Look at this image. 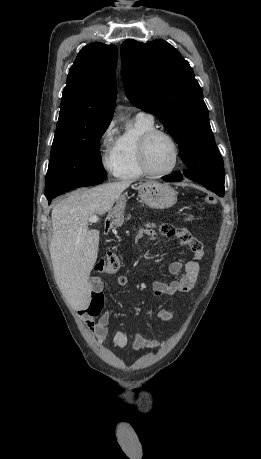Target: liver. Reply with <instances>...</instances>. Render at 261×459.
<instances>
[{
  "mask_svg": "<svg viewBox=\"0 0 261 459\" xmlns=\"http://www.w3.org/2000/svg\"><path fill=\"white\" fill-rule=\"evenodd\" d=\"M129 181L76 190L52 210L50 255L61 292L74 310L88 307L92 286L90 273L99 249V232L89 230V218L111 210Z\"/></svg>",
  "mask_w": 261,
  "mask_h": 459,
  "instance_id": "obj_1",
  "label": "liver"
}]
</instances>
